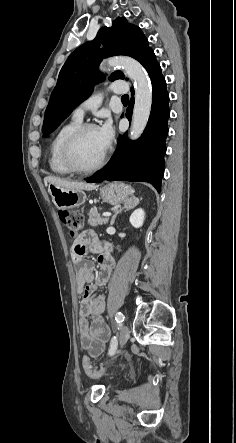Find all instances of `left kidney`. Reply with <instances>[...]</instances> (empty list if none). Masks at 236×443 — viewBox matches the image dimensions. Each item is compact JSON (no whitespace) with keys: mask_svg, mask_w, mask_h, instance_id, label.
<instances>
[{"mask_svg":"<svg viewBox=\"0 0 236 443\" xmlns=\"http://www.w3.org/2000/svg\"><path fill=\"white\" fill-rule=\"evenodd\" d=\"M145 212L143 209H136L130 216V223L133 227L139 228L143 225Z\"/></svg>","mask_w":236,"mask_h":443,"instance_id":"obj_1","label":"left kidney"}]
</instances>
